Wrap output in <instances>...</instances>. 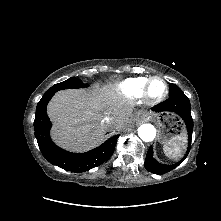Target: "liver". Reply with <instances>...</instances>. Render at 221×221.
<instances>
[{"label": "liver", "mask_w": 221, "mask_h": 221, "mask_svg": "<svg viewBox=\"0 0 221 221\" xmlns=\"http://www.w3.org/2000/svg\"><path fill=\"white\" fill-rule=\"evenodd\" d=\"M132 112V102L117 97L106 87L59 91L47 107V113L53 122V140L59 146L75 152L96 147L107 131L129 128ZM106 116L115 123L110 129L101 124Z\"/></svg>", "instance_id": "liver-1"}]
</instances>
